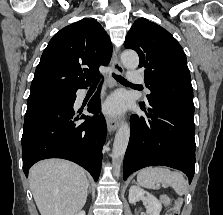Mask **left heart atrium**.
I'll use <instances>...</instances> for the list:
<instances>
[{
	"mask_svg": "<svg viewBox=\"0 0 223 215\" xmlns=\"http://www.w3.org/2000/svg\"><path fill=\"white\" fill-rule=\"evenodd\" d=\"M127 106V100L122 95L112 96L106 103V110L111 113H120Z\"/></svg>",
	"mask_w": 223,
	"mask_h": 215,
	"instance_id": "obj_1",
	"label": "left heart atrium"
}]
</instances>
